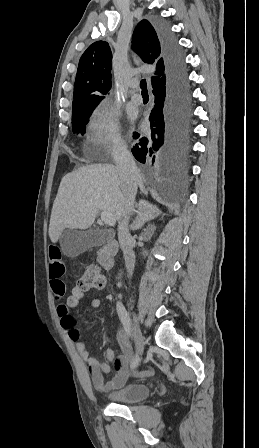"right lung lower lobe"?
<instances>
[{
	"instance_id": "98d812e1",
	"label": "right lung lower lobe",
	"mask_w": 259,
	"mask_h": 448,
	"mask_svg": "<svg viewBox=\"0 0 259 448\" xmlns=\"http://www.w3.org/2000/svg\"><path fill=\"white\" fill-rule=\"evenodd\" d=\"M162 58L165 63L166 83L153 90L155 105L149 116L151 135L141 137L134 132L138 142L132 148L134 157L141 163H156L163 168V176L179 181L188 174L192 151L191 107L192 97L187 64L170 26L155 22Z\"/></svg>"
}]
</instances>
